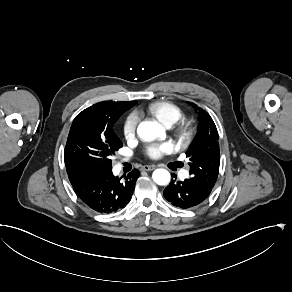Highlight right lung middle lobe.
<instances>
[{"mask_svg":"<svg viewBox=\"0 0 292 292\" xmlns=\"http://www.w3.org/2000/svg\"><path fill=\"white\" fill-rule=\"evenodd\" d=\"M119 116H109L93 108L80 112L74 119L64 150L66 169H112L110 156L122 147L113 131Z\"/></svg>","mask_w":292,"mask_h":292,"instance_id":"dd1d6c3e","label":"right lung middle lobe"}]
</instances>
